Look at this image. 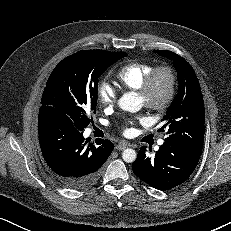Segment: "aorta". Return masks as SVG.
<instances>
[{"mask_svg": "<svg viewBox=\"0 0 231 231\" xmlns=\"http://www.w3.org/2000/svg\"><path fill=\"white\" fill-rule=\"evenodd\" d=\"M119 107L124 111L137 112L141 109L142 104L138 95L134 92L125 93L118 101ZM137 154L134 149H125L122 153V158L127 163H132L136 160Z\"/></svg>", "mask_w": 231, "mask_h": 231, "instance_id": "aorta-1", "label": "aorta"}]
</instances>
